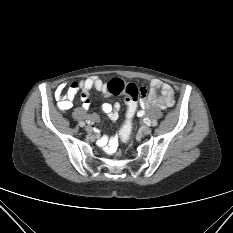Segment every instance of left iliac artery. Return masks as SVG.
Returning <instances> with one entry per match:
<instances>
[{"instance_id":"1","label":"left iliac artery","mask_w":233,"mask_h":233,"mask_svg":"<svg viewBox=\"0 0 233 233\" xmlns=\"http://www.w3.org/2000/svg\"><path fill=\"white\" fill-rule=\"evenodd\" d=\"M152 127H157V122L155 120L152 122Z\"/></svg>"}]
</instances>
